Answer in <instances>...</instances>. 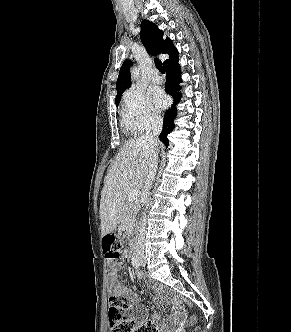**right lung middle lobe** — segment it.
Masks as SVG:
<instances>
[{
    "label": "right lung middle lobe",
    "instance_id": "1",
    "mask_svg": "<svg viewBox=\"0 0 291 332\" xmlns=\"http://www.w3.org/2000/svg\"><path fill=\"white\" fill-rule=\"evenodd\" d=\"M119 102H120V101L116 102V106H118Z\"/></svg>",
    "mask_w": 291,
    "mask_h": 332
}]
</instances>
